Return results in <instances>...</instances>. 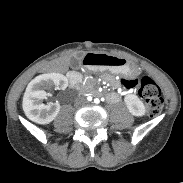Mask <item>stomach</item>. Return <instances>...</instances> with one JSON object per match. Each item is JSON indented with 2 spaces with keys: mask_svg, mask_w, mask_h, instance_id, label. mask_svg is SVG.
<instances>
[{
  "mask_svg": "<svg viewBox=\"0 0 183 183\" xmlns=\"http://www.w3.org/2000/svg\"><path fill=\"white\" fill-rule=\"evenodd\" d=\"M101 59L100 70H109L114 74H122L125 76H133L137 73V70L134 69L125 58L102 54Z\"/></svg>",
  "mask_w": 183,
  "mask_h": 183,
  "instance_id": "obj_1",
  "label": "stomach"
}]
</instances>
